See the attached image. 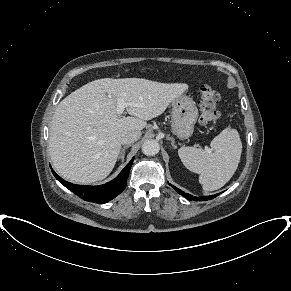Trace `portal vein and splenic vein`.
Here are the masks:
<instances>
[{
	"mask_svg": "<svg viewBox=\"0 0 291 291\" xmlns=\"http://www.w3.org/2000/svg\"><path fill=\"white\" fill-rule=\"evenodd\" d=\"M127 106L128 104L126 102L119 100L117 105V113L121 115Z\"/></svg>",
	"mask_w": 291,
	"mask_h": 291,
	"instance_id": "1",
	"label": "portal vein and splenic vein"
}]
</instances>
